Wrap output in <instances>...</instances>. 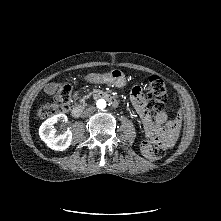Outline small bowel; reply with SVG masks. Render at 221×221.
<instances>
[{"mask_svg": "<svg viewBox=\"0 0 221 221\" xmlns=\"http://www.w3.org/2000/svg\"><path fill=\"white\" fill-rule=\"evenodd\" d=\"M131 100L134 108L139 115L146 139L141 143L143 154L150 158V148L152 144L167 142V147L173 145L180 129L181 117L177 116L174 120L168 121L166 110L157 112L154 118L148 111L140 87L132 89Z\"/></svg>", "mask_w": 221, "mask_h": 221, "instance_id": "c3829d8e", "label": "small bowel"}]
</instances>
